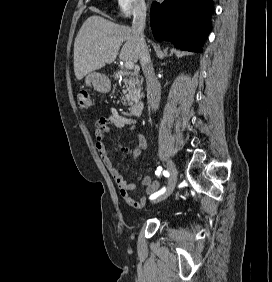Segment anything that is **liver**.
Segmentation results:
<instances>
[{"instance_id": "1", "label": "liver", "mask_w": 272, "mask_h": 282, "mask_svg": "<svg viewBox=\"0 0 272 282\" xmlns=\"http://www.w3.org/2000/svg\"><path fill=\"white\" fill-rule=\"evenodd\" d=\"M119 58L137 62L139 43L128 26L103 17L90 16L80 28L74 42V73L78 80Z\"/></svg>"}]
</instances>
